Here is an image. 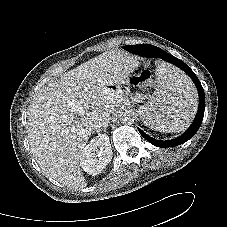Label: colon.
Here are the masks:
<instances>
[{
	"label": "colon",
	"mask_w": 227,
	"mask_h": 227,
	"mask_svg": "<svg viewBox=\"0 0 227 227\" xmlns=\"http://www.w3.org/2000/svg\"><path fill=\"white\" fill-rule=\"evenodd\" d=\"M152 74L149 70H141L132 75L131 81L134 85L149 84Z\"/></svg>",
	"instance_id": "1"
}]
</instances>
